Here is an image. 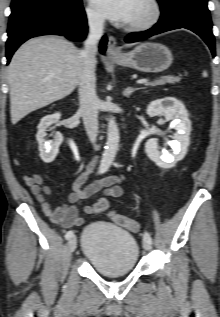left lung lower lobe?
<instances>
[{"label":"left lung lower lobe","instance_id":"1","mask_svg":"<svg viewBox=\"0 0 220 317\" xmlns=\"http://www.w3.org/2000/svg\"><path fill=\"white\" fill-rule=\"evenodd\" d=\"M179 28H186L198 34L215 56V39L207 0H173L161 6L160 20L154 27L141 33H132L125 41L131 43Z\"/></svg>","mask_w":220,"mask_h":317}]
</instances>
